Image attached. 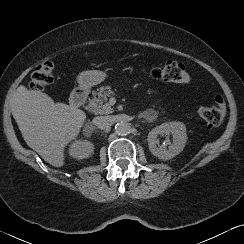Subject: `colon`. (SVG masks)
<instances>
[{
  "label": "colon",
  "mask_w": 244,
  "mask_h": 244,
  "mask_svg": "<svg viewBox=\"0 0 244 244\" xmlns=\"http://www.w3.org/2000/svg\"><path fill=\"white\" fill-rule=\"evenodd\" d=\"M53 70L54 65L51 62L40 64L31 74L30 87L34 90L46 89L54 81ZM150 75L156 80L179 85H188L191 82V76L185 67L174 61H166L151 68ZM198 114L212 126L221 124L226 115L225 100L221 96H216L213 104L201 106Z\"/></svg>",
  "instance_id": "5ec220e1"
}]
</instances>
